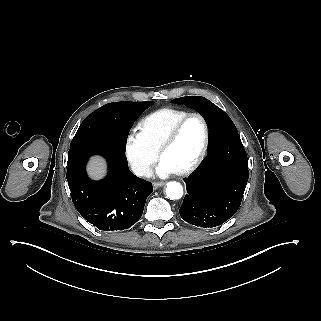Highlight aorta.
Masks as SVG:
<instances>
[{
    "mask_svg": "<svg viewBox=\"0 0 321 321\" xmlns=\"http://www.w3.org/2000/svg\"><path fill=\"white\" fill-rule=\"evenodd\" d=\"M183 195V187L178 182H169L166 187V196L171 199H180Z\"/></svg>",
    "mask_w": 321,
    "mask_h": 321,
    "instance_id": "762f6f07",
    "label": "aorta"
}]
</instances>
